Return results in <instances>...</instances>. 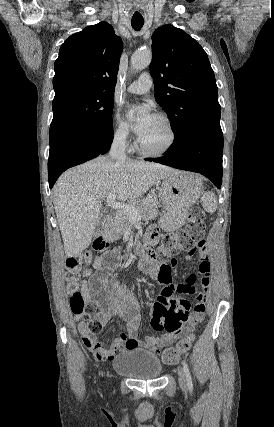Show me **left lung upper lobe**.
Instances as JSON below:
<instances>
[{
  "instance_id": "1",
  "label": "left lung upper lobe",
  "mask_w": 274,
  "mask_h": 427,
  "mask_svg": "<svg viewBox=\"0 0 274 427\" xmlns=\"http://www.w3.org/2000/svg\"><path fill=\"white\" fill-rule=\"evenodd\" d=\"M156 101L167 113L178 147L202 127H220L218 88L208 56L183 30L163 25L152 35Z\"/></svg>"
}]
</instances>
